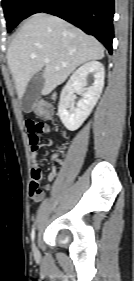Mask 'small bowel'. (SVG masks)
Instances as JSON below:
<instances>
[{"label":"small bowel","instance_id":"c3829d8e","mask_svg":"<svg viewBox=\"0 0 134 281\" xmlns=\"http://www.w3.org/2000/svg\"><path fill=\"white\" fill-rule=\"evenodd\" d=\"M26 128L29 134L30 148H31V157H32V168H31V182H38L42 178V164L38 160V151L41 146H51L52 141L47 140L44 144H40V137L47 135L50 132L49 126L42 122L33 119H27ZM53 165L48 175L49 180H53L58 173L56 163L61 164V161L58 159V156L55 154L52 157ZM49 187L46 186L47 190ZM45 194V190L41 189V194L39 196H31L33 200L40 201Z\"/></svg>","mask_w":134,"mask_h":281}]
</instances>
